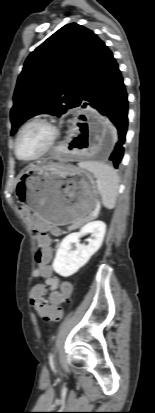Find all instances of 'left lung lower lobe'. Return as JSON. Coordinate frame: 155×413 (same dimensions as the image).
<instances>
[{
  "instance_id": "obj_1",
  "label": "left lung lower lobe",
  "mask_w": 155,
  "mask_h": 413,
  "mask_svg": "<svg viewBox=\"0 0 155 413\" xmlns=\"http://www.w3.org/2000/svg\"><path fill=\"white\" fill-rule=\"evenodd\" d=\"M80 105L83 108L93 107L117 128L119 140L109 160L118 168L124 154L128 127V100L118 64L109 49L91 76Z\"/></svg>"
}]
</instances>
